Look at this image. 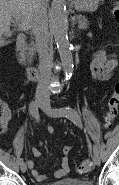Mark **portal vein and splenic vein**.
<instances>
[{
  "label": "portal vein and splenic vein",
  "mask_w": 119,
  "mask_h": 185,
  "mask_svg": "<svg viewBox=\"0 0 119 185\" xmlns=\"http://www.w3.org/2000/svg\"><path fill=\"white\" fill-rule=\"evenodd\" d=\"M15 18H16L17 20H20V15H19V14H15Z\"/></svg>",
  "instance_id": "18ae733b"
}]
</instances>
